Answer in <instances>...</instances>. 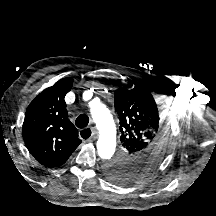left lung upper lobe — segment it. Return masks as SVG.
Returning a JSON list of instances; mask_svg holds the SVG:
<instances>
[{
	"label": "left lung upper lobe",
	"instance_id": "obj_1",
	"mask_svg": "<svg viewBox=\"0 0 216 216\" xmlns=\"http://www.w3.org/2000/svg\"><path fill=\"white\" fill-rule=\"evenodd\" d=\"M121 148L105 166L106 176L118 183H131L149 174L170 150V134L159 118L149 86L115 91Z\"/></svg>",
	"mask_w": 216,
	"mask_h": 216
}]
</instances>
